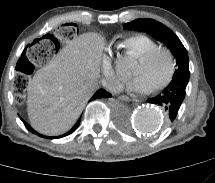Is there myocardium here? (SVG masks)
Segmentation results:
<instances>
[{"label":"myocardium","mask_w":215,"mask_h":183,"mask_svg":"<svg viewBox=\"0 0 215 183\" xmlns=\"http://www.w3.org/2000/svg\"><path fill=\"white\" fill-rule=\"evenodd\" d=\"M157 55H164L168 59L170 67H169V73L165 78V80L159 83L158 85H156L155 87L151 88L152 92L160 91L166 88L168 85H170L176 73V61H175L174 55L168 48L160 47V46L153 48L143 54H140L138 56V60L142 62H148L152 60L154 57H156Z\"/></svg>","instance_id":"1"}]
</instances>
